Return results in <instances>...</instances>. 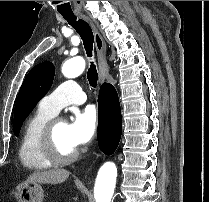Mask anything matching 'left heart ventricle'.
I'll return each mask as SVG.
<instances>
[{"instance_id":"b2bd125f","label":"left heart ventricle","mask_w":209,"mask_h":202,"mask_svg":"<svg viewBox=\"0 0 209 202\" xmlns=\"http://www.w3.org/2000/svg\"><path fill=\"white\" fill-rule=\"evenodd\" d=\"M55 140L59 150L65 154H68L76 149L69 141L67 123L65 121L58 122L55 129Z\"/></svg>"}]
</instances>
